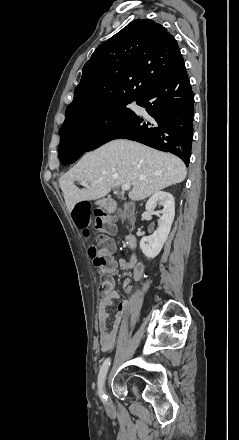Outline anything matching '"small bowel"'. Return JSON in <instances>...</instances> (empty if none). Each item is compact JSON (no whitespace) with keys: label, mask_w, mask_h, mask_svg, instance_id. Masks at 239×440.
Returning <instances> with one entry per match:
<instances>
[{"label":"small bowel","mask_w":239,"mask_h":440,"mask_svg":"<svg viewBox=\"0 0 239 440\" xmlns=\"http://www.w3.org/2000/svg\"><path fill=\"white\" fill-rule=\"evenodd\" d=\"M118 265L122 271L133 269L134 279L136 280L142 279L145 275L146 267L142 262L138 261L137 256L135 254H132L129 261H126L125 259L121 258L119 260ZM123 289L124 291L127 292H132L134 290L133 286L131 285V279L126 278L124 280ZM118 297L119 294L115 290L114 282L111 279L109 288L103 292L99 304V314H98L99 331H100L99 342H100L101 350L103 352L110 351L114 347L121 326L122 316L126 310V305L124 303H121L117 306V313L114 317L112 328L109 329L107 326V320L110 314L108 313L107 308L111 306L113 304V300Z\"/></svg>","instance_id":"c3829d8e"}]
</instances>
